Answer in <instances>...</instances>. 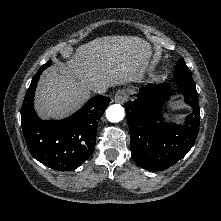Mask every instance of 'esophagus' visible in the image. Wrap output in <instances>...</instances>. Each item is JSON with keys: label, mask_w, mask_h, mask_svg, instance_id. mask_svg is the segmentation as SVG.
I'll return each mask as SVG.
<instances>
[{"label": "esophagus", "mask_w": 221, "mask_h": 221, "mask_svg": "<svg viewBox=\"0 0 221 221\" xmlns=\"http://www.w3.org/2000/svg\"><path fill=\"white\" fill-rule=\"evenodd\" d=\"M129 98V91L127 89H120L115 94V102L123 104Z\"/></svg>", "instance_id": "obj_1"}]
</instances>
